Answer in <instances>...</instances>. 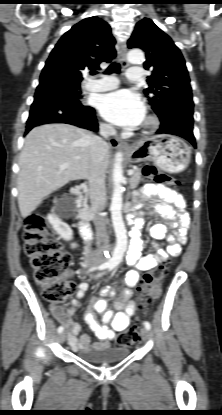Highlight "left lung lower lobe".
<instances>
[{"instance_id": "0a47b994", "label": "left lung lower lobe", "mask_w": 222, "mask_h": 415, "mask_svg": "<svg viewBox=\"0 0 222 415\" xmlns=\"http://www.w3.org/2000/svg\"><path fill=\"white\" fill-rule=\"evenodd\" d=\"M181 106L183 114L179 117L168 115L162 119L161 126L157 130V134H172L188 140L194 147L196 146L195 137L193 135V107L194 103L192 95H182Z\"/></svg>"}]
</instances>
